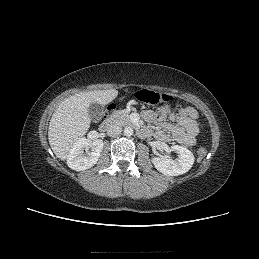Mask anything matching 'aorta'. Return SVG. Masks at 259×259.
Returning <instances> with one entry per match:
<instances>
[{"label":"aorta","instance_id":"obj_1","mask_svg":"<svg viewBox=\"0 0 259 259\" xmlns=\"http://www.w3.org/2000/svg\"><path fill=\"white\" fill-rule=\"evenodd\" d=\"M133 128L132 127H125L124 129V135L127 137H130L133 135Z\"/></svg>","mask_w":259,"mask_h":259}]
</instances>
